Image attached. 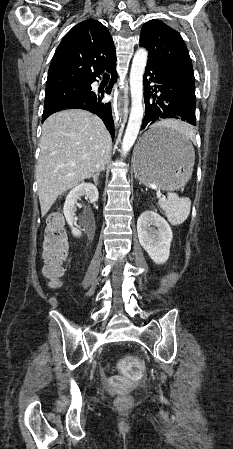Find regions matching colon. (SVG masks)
I'll use <instances>...</instances> for the list:
<instances>
[{
	"label": "colon",
	"mask_w": 233,
	"mask_h": 449,
	"mask_svg": "<svg viewBox=\"0 0 233 449\" xmlns=\"http://www.w3.org/2000/svg\"><path fill=\"white\" fill-rule=\"evenodd\" d=\"M67 236L63 229V218L60 214H53L48 218L43 252L46 261L45 274L57 283L61 276V264L67 254ZM126 397L117 399V406H125Z\"/></svg>",
	"instance_id": "obj_1"
}]
</instances>
